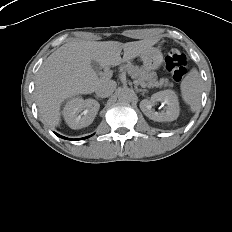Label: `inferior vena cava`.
Wrapping results in <instances>:
<instances>
[{
	"instance_id": "inferior-vena-cava-1",
	"label": "inferior vena cava",
	"mask_w": 232,
	"mask_h": 232,
	"mask_svg": "<svg viewBox=\"0 0 232 232\" xmlns=\"http://www.w3.org/2000/svg\"><path fill=\"white\" fill-rule=\"evenodd\" d=\"M116 82L113 80H104L96 88L95 93L98 97L106 98L109 97L116 89Z\"/></svg>"
}]
</instances>
